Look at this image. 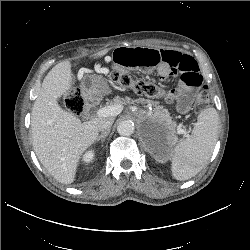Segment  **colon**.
<instances>
[{
    "label": "colon",
    "instance_id": "obj_1",
    "mask_svg": "<svg viewBox=\"0 0 250 250\" xmlns=\"http://www.w3.org/2000/svg\"><path fill=\"white\" fill-rule=\"evenodd\" d=\"M112 82L122 88H129L138 94H144L149 97L161 98L167 103H173L180 97L178 89H165L154 82L134 79L128 74H122L114 71L110 75ZM211 102V94L207 87H203L194 103L195 113L202 112ZM65 107L73 114L80 115L84 111V100L79 90H71L63 97Z\"/></svg>",
    "mask_w": 250,
    "mask_h": 250
}]
</instances>
